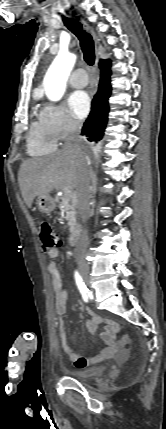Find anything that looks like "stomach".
Returning <instances> with one entry per match:
<instances>
[{
	"instance_id": "0dacf381",
	"label": "stomach",
	"mask_w": 166,
	"mask_h": 429,
	"mask_svg": "<svg viewBox=\"0 0 166 429\" xmlns=\"http://www.w3.org/2000/svg\"><path fill=\"white\" fill-rule=\"evenodd\" d=\"M38 210L45 214H50L55 208V202L53 198L47 195H39L36 200Z\"/></svg>"
}]
</instances>
